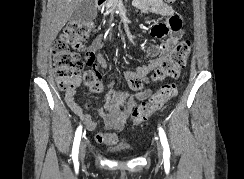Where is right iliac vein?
I'll return each instance as SVG.
<instances>
[{
	"instance_id": "1",
	"label": "right iliac vein",
	"mask_w": 244,
	"mask_h": 179,
	"mask_svg": "<svg viewBox=\"0 0 244 179\" xmlns=\"http://www.w3.org/2000/svg\"><path fill=\"white\" fill-rule=\"evenodd\" d=\"M86 152V144L83 142L80 146V159L83 160Z\"/></svg>"
}]
</instances>
